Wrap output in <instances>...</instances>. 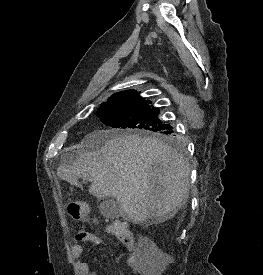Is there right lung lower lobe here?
<instances>
[{
  "mask_svg": "<svg viewBox=\"0 0 263 275\" xmlns=\"http://www.w3.org/2000/svg\"><path fill=\"white\" fill-rule=\"evenodd\" d=\"M166 132L173 133L172 128L168 129ZM174 134V133H173Z\"/></svg>",
  "mask_w": 263,
  "mask_h": 275,
  "instance_id": "1",
  "label": "right lung lower lobe"
}]
</instances>
